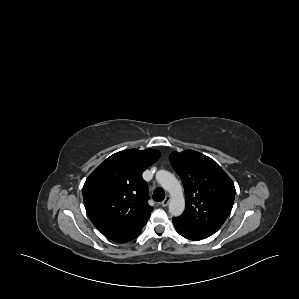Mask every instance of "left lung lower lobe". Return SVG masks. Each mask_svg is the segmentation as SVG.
Listing matches in <instances>:
<instances>
[{
	"instance_id": "0a47b994",
	"label": "left lung lower lobe",
	"mask_w": 299,
	"mask_h": 299,
	"mask_svg": "<svg viewBox=\"0 0 299 299\" xmlns=\"http://www.w3.org/2000/svg\"><path fill=\"white\" fill-rule=\"evenodd\" d=\"M172 221H173V224H174L177 232L187 239L196 241V240H201V239L207 238L211 235L203 230L193 229V228L188 227L179 218H173Z\"/></svg>"
}]
</instances>
